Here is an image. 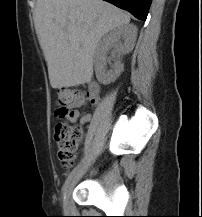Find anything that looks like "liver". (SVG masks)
<instances>
[{
	"mask_svg": "<svg viewBox=\"0 0 202 217\" xmlns=\"http://www.w3.org/2000/svg\"><path fill=\"white\" fill-rule=\"evenodd\" d=\"M130 16L103 0H37L36 33L53 88L88 83L101 37Z\"/></svg>",
	"mask_w": 202,
	"mask_h": 217,
	"instance_id": "6515ba94",
	"label": "liver"
}]
</instances>
